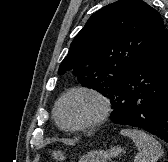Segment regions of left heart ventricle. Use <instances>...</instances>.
<instances>
[{
  "instance_id": "b2bd125f",
  "label": "left heart ventricle",
  "mask_w": 168,
  "mask_h": 162,
  "mask_svg": "<svg viewBox=\"0 0 168 162\" xmlns=\"http://www.w3.org/2000/svg\"><path fill=\"white\" fill-rule=\"evenodd\" d=\"M98 110L96 102L87 96L75 95L66 99L59 110L63 124L74 126L93 117Z\"/></svg>"
}]
</instances>
